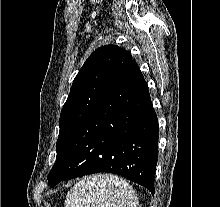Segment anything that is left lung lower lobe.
<instances>
[{
	"instance_id": "0a47b994",
	"label": "left lung lower lobe",
	"mask_w": 220,
	"mask_h": 207,
	"mask_svg": "<svg viewBox=\"0 0 220 207\" xmlns=\"http://www.w3.org/2000/svg\"><path fill=\"white\" fill-rule=\"evenodd\" d=\"M158 122L145 79L132 60L77 130L48 175L51 186L98 172L121 175L154 194Z\"/></svg>"
}]
</instances>
